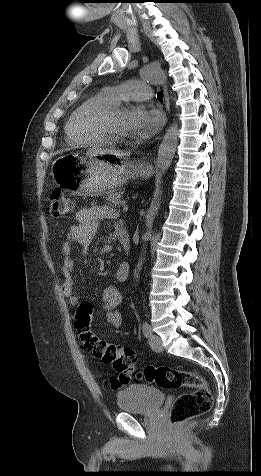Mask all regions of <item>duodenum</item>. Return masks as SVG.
Listing matches in <instances>:
<instances>
[{"instance_id":"duodenum-1","label":"duodenum","mask_w":261,"mask_h":476,"mask_svg":"<svg viewBox=\"0 0 261 476\" xmlns=\"http://www.w3.org/2000/svg\"><path fill=\"white\" fill-rule=\"evenodd\" d=\"M117 238L123 250L128 252L130 250V238L128 233L124 229L119 228L117 230Z\"/></svg>"}]
</instances>
